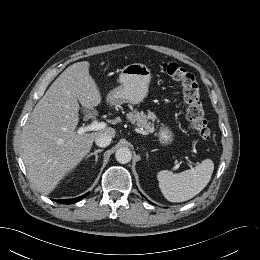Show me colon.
I'll return each instance as SVG.
<instances>
[{"label": "colon", "mask_w": 260, "mask_h": 260, "mask_svg": "<svg viewBox=\"0 0 260 260\" xmlns=\"http://www.w3.org/2000/svg\"><path fill=\"white\" fill-rule=\"evenodd\" d=\"M161 70L173 81L180 84L186 104V118L191 128L204 140L211 137V132L200 98V88L195 76L176 63H163Z\"/></svg>", "instance_id": "5ec220e1"}]
</instances>
